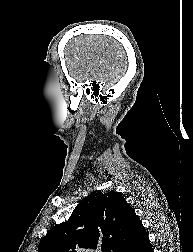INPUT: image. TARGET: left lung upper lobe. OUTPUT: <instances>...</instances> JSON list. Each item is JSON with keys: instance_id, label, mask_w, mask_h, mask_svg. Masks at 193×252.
<instances>
[{"instance_id": "obj_1", "label": "left lung upper lobe", "mask_w": 193, "mask_h": 252, "mask_svg": "<svg viewBox=\"0 0 193 252\" xmlns=\"http://www.w3.org/2000/svg\"><path fill=\"white\" fill-rule=\"evenodd\" d=\"M140 222L119 192H92L46 234L38 252H125Z\"/></svg>"}]
</instances>
